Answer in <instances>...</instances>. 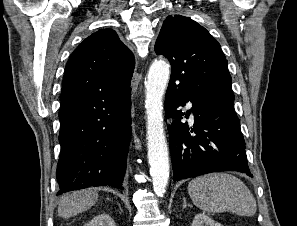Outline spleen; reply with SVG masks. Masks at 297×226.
I'll return each mask as SVG.
<instances>
[{
  "instance_id": "spleen-1",
  "label": "spleen",
  "mask_w": 297,
  "mask_h": 226,
  "mask_svg": "<svg viewBox=\"0 0 297 226\" xmlns=\"http://www.w3.org/2000/svg\"><path fill=\"white\" fill-rule=\"evenodd\" d=\"M194 205L209 213L229 211L240 216L256 213V200L243 181L228 173H211L190 181Z\"/></svg>"
}]
</instances>
